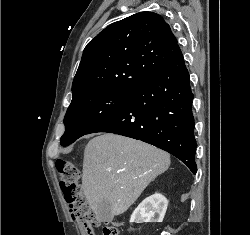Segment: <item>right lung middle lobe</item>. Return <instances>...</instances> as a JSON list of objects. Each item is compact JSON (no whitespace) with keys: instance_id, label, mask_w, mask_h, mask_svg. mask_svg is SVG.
Returning <instances> with one entry per match:
<instances>
[{"instance_id":"right-lung-middle-lobe-1","label":"right lung middle lobe","mask_w":250,"mask_h":235,"mask_svg":"<svg viewBox=\"0 0 250 235\" xmlns=\"http://www.w3.org/2000/svg\"><path fill=\"white\" fill-rule=\"evenodd\" d=\"M134 91L98 90L72 100L64 118L65 133L60 139L68 146L119 110Z\"/></svg>"}]
</instances>
